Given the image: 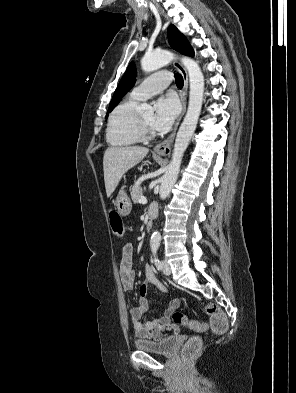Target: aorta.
Segmentation results:
<instances>
[{
	"label": "aorta",
	"instance_id": "aorta-1",
	"mask_svg": "<svg viewBox=\"0 0 296 393\" xmlns=\"http://www.w3.org/2000/svg\"><path fill=\"white\" fill-rule=\"evenodd\" d=\"M173 59L174 54L169 51H154L152 53L146 54L142 58L141 67L144 72L148 73L164 67L165 65L169 64ZM180 59L189 74V102L187 113L175 139L172 159L167 166V170L161 180L159 194L162 200L166 199L169 196L171 189L178 178L184 152L186 151L190 139L196 129L203 104L204 76L198 63L190 57L186 56H183ZM138 112H153V109L150 105L143 103L138 107ZM160 240V232H153L151 236L152 243L158 244Z\"/></svg>",
	"mask_w": 296,
	"mask_h": 393
}]
</instances>
